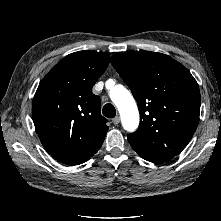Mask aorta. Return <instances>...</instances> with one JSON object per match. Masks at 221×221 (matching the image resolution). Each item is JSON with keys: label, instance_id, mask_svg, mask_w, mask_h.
I'll list each match as a JSON object with an SVG mask.
<instances>
[{"label": "aorta", "instance_id": "obj_1", "mask_svg": "<svg viewBox=\"0 0 221 221\" xmlns=\"http://www.w3.org/2000/svg\"><path fill=\"white\" fill-rule=\"evenodd\" d=\"M110 98L118 108L122 126L133 132L139 125V111L131 93L122 85H116L110 90Z\"/></svg>", "mask_w": 221, "mask_h": 221}]
</instances>
